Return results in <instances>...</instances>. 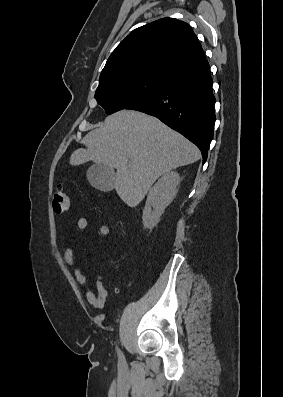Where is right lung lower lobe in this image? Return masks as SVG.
Wrapping results in <instances>:
<instances>
[{"instance_id":"obj_1","label":"right lung lower lobe","mask_w":283,"mask_h":397,"mask_svg":"<svg viewBox=\"0 0 283 397\" xmlns=\"http://www.w3.org/2000/svg\"><path fill=\"white\" fill-rule=\"evenodd\" d=\"M212 84L208 65L176 76L126 109L155 116L181 133L200 149L205 163L216 121Z\"/></svg>"}]
</instances>
